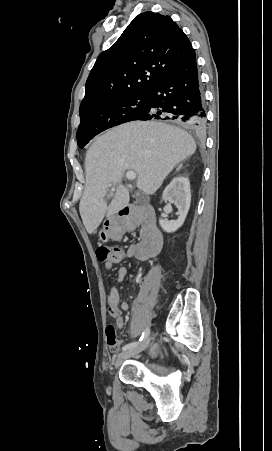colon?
<instances>
[{
	"label": "colon",
	"instance_id": "5ec220e1",
	"mask_svg": "<svg viewBox=\"0 0 272 451\" xmlns=\"http://www.w3.org/2000/svg\"><path fill=\"white\" fill-rule=\"evenodd\" d=\"M96 261L97 262H106L108 258H113L114 256L121 255L120 247H106L99 246L97 247ZM106 341L108 346L114 347L116 346L117 341V330L116 326L113 323H108L105 328Z\"/></svg>",
	"mask_w": 272,
	"mask_h": 451
}]
</instances>
